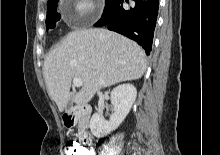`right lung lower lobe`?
Wrapping results in <instances>:
<instances>
[{
  "label": "right lung lower lobe",
  "mask_w": 220,
  "mask_h": 155,
  "mask_svg": "<svg viewBox=\"0 0 220 155\" xmlns=\"http://www.w3.org/2000/svg\"><path fill=\"white\" fill-rule=\"evenodd\" d=\"M127 3L128 1L125 0ZM130 8L123 6V0H112L105 7L101 19L95 23L100 27L106 25L109 30L123 34L141 45L149 55L156 20L159 0H134Z\"/></svg>",
  "instance_id": "obj_1"
}]
</instances>
